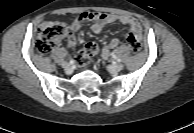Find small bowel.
I'll return each mask as SVG.
<instances>
[{"instance_id":"1","label":"small bowel","mask_w":194,"mask_h":133,"mask_svg":"<svg viewBox=\"0 0 194 133\" xmlns=\"http://www.w3.org/2000/svg\"><path fill=\"white\" fill-rule=\"evenodd\" d=\"M92 22L91 30L93 33H100L104 26L112 23H120L129 26V32L125 34L128 41L130 35H133L138 40H141L142 27L138 20L134 17L127 15H115L111 13H99V12H84L76 17L70 24V30L66 35V44L68 48H72L77 43L76 33L81 29L83 22ZM119 45V39L114 38L107 42L101 49L103 57H108L112 49Z\"/></svg>"}]
</instances>
